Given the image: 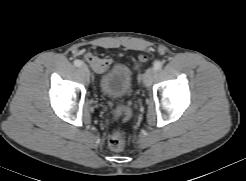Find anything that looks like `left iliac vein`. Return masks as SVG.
Masks as SVG:
<instances>
[{
  "label": "left iliac vein",
  "instance_id": "obj_1",
  "mask_svg": "<svg viewBox=\"0 0 246 181\" xmlns=\"http://www.w3.org/2000/svg\"><path fill=\"white\" fill-rule=\"evenodd\" d=\"M156 70L151 67V68H148L144 74V77H143V83L145 86H150L154 80V77L156 75Z\"/></svg>",
  "mask_w": 246,
  "mask_h": 181
}]
</instances>
